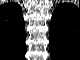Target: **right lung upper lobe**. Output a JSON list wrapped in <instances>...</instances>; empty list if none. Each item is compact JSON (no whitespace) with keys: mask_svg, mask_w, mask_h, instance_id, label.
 Segmentation results:
<instances>
[{"mask_svg":"<svg viewBox=\"0 0 80 60\" xmlns=\"http://www.w3.org/2000/svg\"><path fill=\"white\" fill-rule=\"evenodd\" d=\"M26 32L21 7L16 3L0 7V51L4 54L25 51Z\"/></svg>","mask_w":80,"mask_h":60,"instance_id":"cb5924a9","label":"right lung upper lobe"}]
</instances>
